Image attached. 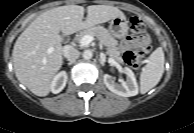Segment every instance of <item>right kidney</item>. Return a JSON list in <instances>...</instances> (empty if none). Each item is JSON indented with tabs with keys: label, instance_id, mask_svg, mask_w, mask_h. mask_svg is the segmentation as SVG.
Returning a JSON list of instances; mask_svg holds the SVG:
<instances>
[{
	"label": "right kidney",
	"instance_id": "ca27d5eb",
	"mask_svg": "<svg viewBox=\"0 0 194 133\" xmlns=\"http://www.w3.org/2000/svg\"><path fill=\"white\" fill-rule=\"evenodd\" d=\"M67 73L65 71L59 72L51 82V91L54 94L61 92L67 83Z\"/></svg>",
	"mask_w": 194,
	"mask_h": 133
}]
</instances>
